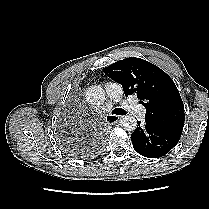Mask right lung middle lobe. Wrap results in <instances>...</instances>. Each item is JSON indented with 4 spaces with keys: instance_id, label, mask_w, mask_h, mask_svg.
<instances>
[{
    "instance_id": "1",
    "label": "right lung middle lobe",
    "mask_w": 209,
    "mask_h": 209,
    "mask_svg": "<svg viewBox=\"0 0 209 209\" xmlns=\"http://www.w3.org/2000/svg\"><path fill=\"white\" fill-rule=\"evenodd\" d=\"M73 153L77 154V153H78V151H77V152H76V151H74Z\"/></svg>"
}]
</instances>
